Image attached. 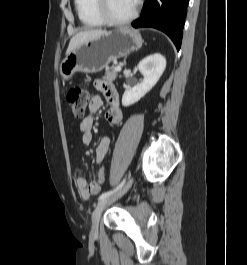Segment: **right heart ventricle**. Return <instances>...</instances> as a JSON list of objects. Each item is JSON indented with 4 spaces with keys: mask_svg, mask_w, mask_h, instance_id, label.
Masks as SVG:
<instances>
[{
    "mask_svg": "<svg viewBox=\"0 0 247 265\" xmlns=\"http://www.w3.org/2000/svg\"><path fill=\"white\" fill-rule=\"evenodd\" d=\"M80 21L87 27H99L104 21L95 9V0H74Z\"/></svg>",
    "mask_w": 247,
    "mask_h": 265,
    "instance_id": "right-heart-ventricle-1",
    "label": "right heart ventricle"
}]
</instances>
